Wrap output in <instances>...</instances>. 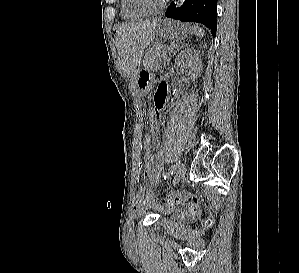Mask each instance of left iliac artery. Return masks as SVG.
<instances>
[{"instance_id":"1","label":"left iliac artery","mask_w":299,"mask_h":273,"mask_svg":"<svg viewBox=\"0 0 299 273\" xmlns=\"http://www.w3.org/2000/svg\"><path fill=\"white\" fill-rule=\"evenodd\" d=\"M176 169H177V164L172 165V166L168 169L167 173L163 176V177H164V180H166L170 175H172Z\"/></svg>"}]
</instances>
